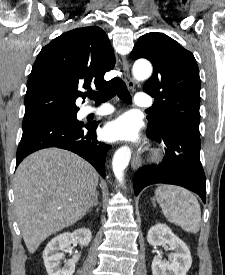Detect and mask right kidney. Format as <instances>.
Instances as JSON below:
<instances>
[{
  "label": "right kidney",
  "mask_w": 225,
  "mask_h": 275,
  "mask_svg": "<svg viewBox=\"0 0 225 275\" xmlns=\"http://www.w3.org/2000/svg\"><path fill=\"white\" fill-rule=\"evenodd\" d=\"M91 238L92 233L87 228H80L72 233L65 232L53 238L43 251L44 265L48 275H73L80 254H75L72 259L65 261L64 266L61 267L60 263L65 255L60 251H65L72 242L87 246Z\"/></svg>",
  "instance_id": "right-kidney-1"
}]
</instances>
